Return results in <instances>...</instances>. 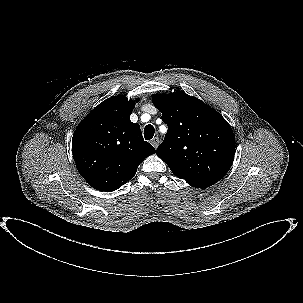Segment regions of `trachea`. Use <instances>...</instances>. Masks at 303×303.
<instances>
[{
	"label": "trachea",
	"mask_w": 303,
	"mask_h": 303,
	"mask_svg": "<svg viewBox=\"0 0 303 303\" xmlns=\"http://www.w3.org/2000/svg\"><path fill=\"white\" fill-rule=\"evenodd\" d=\"M155 133V129L151 124H148L144 128V137L146 140H150L153 138Z\"/></svg>",
	"instance_id": "obj_1"
}]
</instances>
